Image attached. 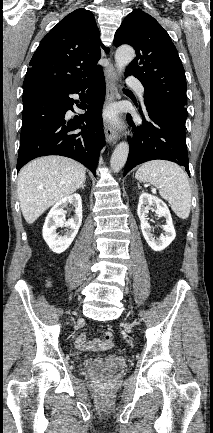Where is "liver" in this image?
Masks as SVG:
<instances>
[{
    "label": "liver",
    "instance_id": "1",
    "mask_svg": "<svg viewBox=\"0 0 213 433\" xmlns=\"http://www.w3.org/2000/svg\"><path fill=\"white\" fill-rule=\"evenodd\" d=\"M85 167L62 156H45L25 165L18 175L21 211L28 224L85 182Z\"/></svg>",
    "mask_w": 213,
    "mask_h": 433
}]
</instances>
